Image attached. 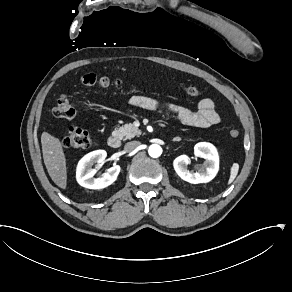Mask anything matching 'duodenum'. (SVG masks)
Segmentation results:
<instances>
[{
  "label": "duodenum",
  "instance_id": "410a0bca",
  "mask_svg": "<svg viewBox=\"0 0 292 292\" xmlns=\"http://www.w3.org/2000/svg\"><path fill=\"white\" fill-rule=\"evenodd\" d=\"M107 144L112 149H117L120 147L121 141L117 135H112L108 138Z\"/></svg>",
  "mask_w": 292,
  "mask_h": 292
}]
</instances>
